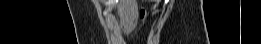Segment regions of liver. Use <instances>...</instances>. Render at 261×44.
I'll use <instances>...</instances> for the list:
<instances>
[{
  "instance_id": "6515ba94",
  "label": "liver",
  "mask_w": 261,
  "mask_h": 44,
  "mask_svg": "<svg viewBox=\"0 0 261 44\" xmlns=\"http://www.w3.org/2000/svg\"><path fill=\"white\" fill-rule=\"evenodd\" d=\"M117 13L124 33L132 32L136 27L138 18L137 0H120Z\"/></svg>"
}]
</instances>
